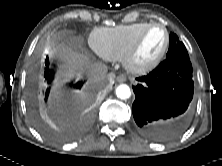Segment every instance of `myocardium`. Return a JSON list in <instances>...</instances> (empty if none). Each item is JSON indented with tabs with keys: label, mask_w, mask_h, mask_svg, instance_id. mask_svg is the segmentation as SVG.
I'll return each instance as SVG.
<instances>
[{
	"label": "myocardium",
	"mask_w": 222,
	"mask_h": 166,
	"mask_svg": "<svg viewBox=\"0 0 222 166\" xmlns=\"http://www.w3.org/2000/svg\"><path fill=\"white\" fill-rule=\"evenodd\" d=\"M159 27L162 28L165 32V43L159 54L150 62L145 63V64H139L135 60V56L137 53V50L140 46V43L144 37V35L152 28ZM170 44V33L168 29L166 28L165 25L161 23H149L147 24L141 31L137 34V36L134 38L130 46L128 47L127 51L125 52L123 56V63L125 68L130 71L131 73H136V74H141V73H146L154 68H156L162 59L164 58L168 47Z\"/></svg>",
	"instance_id": "myocardium-1"
}]
</instances>
